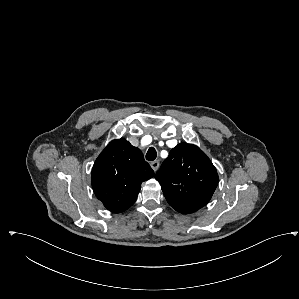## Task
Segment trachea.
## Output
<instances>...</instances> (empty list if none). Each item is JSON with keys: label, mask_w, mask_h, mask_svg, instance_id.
<instances>
[{"label": "trachea", "mask_w": 299, "mask_h": 299, "mask_svg": "<svg viewBox=\"0 0 299 299\" xmlns=\"http://www.w3.org/2000/svg\"><path fill=\"white\" fill-rule=\"evenodd\" d=\"M156 157H157L156 149L154 147H150L147 151L146 159L148 161H153L156 159Z\"/></svg>", "instance_id": "3493384b"}]
</instances>
